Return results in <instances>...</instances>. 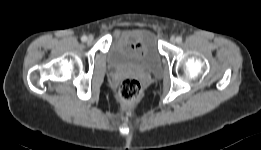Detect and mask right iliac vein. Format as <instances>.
<instances>
[{"label":"right iliac vein","mask_w":261,"mask_h":150,"mask_svg":"<svg viewBox=\"0 0 261 150\" xmlns=\"http://www.w3.org/2000/svg\"><path fill=\"white\" fill-rule=\"evenodd\" d=\"M87 41H88L89 43H91V42L93 41V36L90 35V36L87 38Z\"/></svg>","instance_id":"right-iliac-vein-1"}]
</instances>
